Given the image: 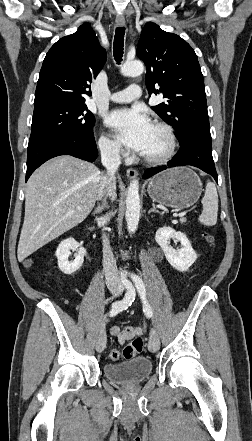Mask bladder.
Returning <instances> with one entry per match:
<instances>
[{"label": "bladder", "instance_id": "bladder-1", "mask_svg": "<svg viewBox=\"0 0 252 441\" xmlns=\"http://www.w3.org/2000/svg\"><path fill=\"white\" fill-rule=\"evenodd\" d=\"M104 376L118 384H133L145 380L152 372L151 360L137 356L120 363H106L103 367Z\"/></svg>", "mask_w": 252, "mask_h": 441}]
</instances>
